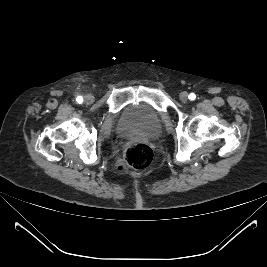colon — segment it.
<instances>
[{
	"label": "colon",
	"instance_id": "colon-1",
	"mask_svg": "<svg viewBox=\"0 0 267 267\" xmlns=\"http://www.w3.org/2000/svg\"><path fill=\"white\" fill-rule=\"evenodd\" d=\"M153 160V151L147 144L142 142H133L126 147L118 166L121 170L145 169L153 164Z\"/></svg>",
	"mask_w": 267,
	"mask_h": 267
}]
</instances>
